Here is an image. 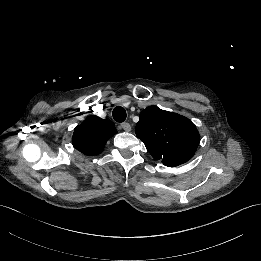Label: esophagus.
Listing matches in <instances>:
<instances>
[{"mask_svg": "<svg viewBox=\"0 0 261 261\" xmlns=\"http://www.w3.org/2000/svg\"><path fill=\"white\" fill-rule=\"evenodd\" d=\"M121 127H122L125 131H127V132H130V131H131V125H130L129 123H127V122L122 123V124H121Z\"/></svg>", "mask_w": 261, "mask_h": 261, "instance_id": "34e87169", "label": "esophagus"}]
</instances>
